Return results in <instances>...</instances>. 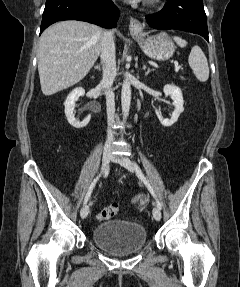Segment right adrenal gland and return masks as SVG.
Segmentation results:
<instances>
[{
    "mask_svg": "<svg viewBox=\"0 0 240 287\" xmlns=\"http://www.w3.org/2000/svg\"><path fill=\"white\" fill-rule=\"evenodd\" d=\"M95 69H97V70H99V71H101V70H102V68H101V66H100V65L95 66Z\"/></svg>",
    "mask_w": 240,
    "mask_h": 287,
    "instance_id": "obj_1",
    "label": "right adrenal gland"
}]
</instances>
